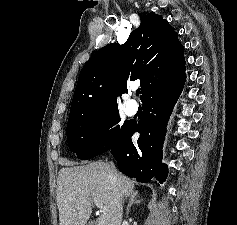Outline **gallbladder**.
I'll return each mask as SVG.
<instances>
[{"instance_id":"obj_1","label":"gallbladder","mask_w":237,"mask_h":225,"mask_svg":"<svg viewBox=\"0 0 237 225\" xmlns=\"http://www.w3.org/2000/svg\"><path fill=\"white\" fill-rule=\"evenodd\" d=\"M86 225H95V222H89V223H87Z\"/></svg>"}]
</instances>
